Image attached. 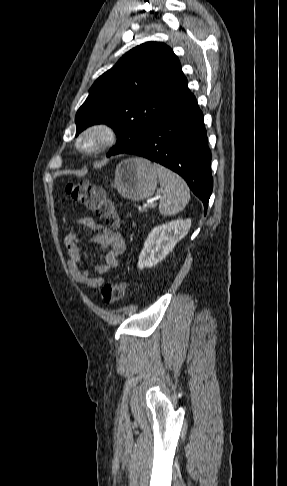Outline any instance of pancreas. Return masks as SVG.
<instances>
[{"label": "pancreas", "instance_id": "cf45deb5", "mask_svg": "<svg viewBox=\"0 0 287 486\" xmlns=\"http://www.w3.org/2000/svg\"><path fill=\"white\" fill-rule=\"evenodd\" d=\"M146 209L145 208H142L141 212H144Z\"/></svg>", "mask_w": 287, "mask_h": 486}]
</instances>
